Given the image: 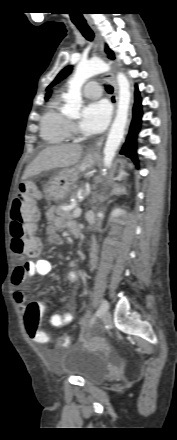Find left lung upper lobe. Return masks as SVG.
Masks as SVG:
<instances>
[{
  "label": "left lung upper lobe",
  "instance_id": "left-lung-upper-lobe-1",
  "mask_svg": "<svg viewBox=\"0 0 177 440\" xmlns=\"http://www.w3.org/2000/svg\"><path fill=\"white\" fill-rule=\"evenodd\" d=\"M106 53L108 54L109 58L114 59V53L106 46L105 48ZM72 68L71 67H66L64 68L56 77V79L48 86L47 89L51 88L53 85H55L56 83H58L60 80H62L63 78H65L66 76H68L71 73Z\"/></svg>",
  "mask_w": 177,
  "mask_h": 440
}]
</instances>
